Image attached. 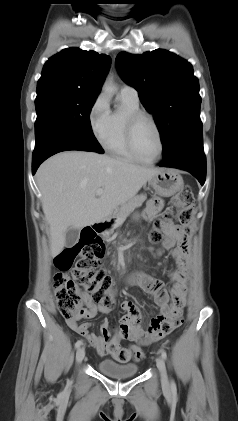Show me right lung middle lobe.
I'll return each mask as SVG.
<instances>
[{
    "mask_svg": "<svg viewBox=\"0 0 238 421\" xmlns=\"http://www.w3.org/2000/svg\"><path fill=\"white\" fill-rule=\"evenodd\" d=\"M98 94L76 90L47 87L37 89L35 107V140L49 127H55L70 134L93 151L103 149L93 135L90 111Z\"/></svg>",
    "mask_w": 238,
    "mask_h": 421,
    "instance_id": "dd1d6c3e",
    "label": "right lung middle lobe"
}]
</instances>
